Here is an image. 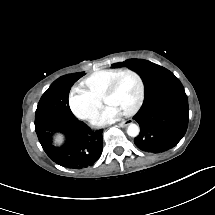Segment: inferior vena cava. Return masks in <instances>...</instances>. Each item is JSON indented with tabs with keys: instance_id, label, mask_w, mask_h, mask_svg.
I'll return each instance as SVG.
<instances>
[{
	"instance_id": "1",
	"label": "inferior vena cava",
	"mask_w": 215,
	"mask_h": 215,
	"mask_svg": "<svg viewBox=\"0 0 215 215\" xmlns=\"http://www.w3.org/2000/svg\"><path fill=\"white\" fill-rule=\"evenodd\" d=\"M90 120H91L92 122H96V121H98V119H97V118H90Z\"/></svg>"
}]
</instances>
